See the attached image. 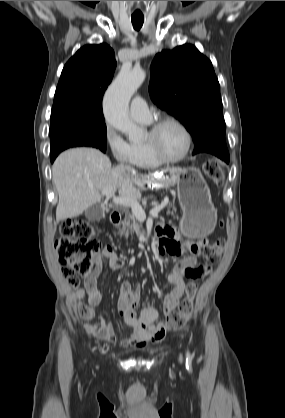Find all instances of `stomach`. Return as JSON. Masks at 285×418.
Here are the masks:
<instances>
[{
    "label": "stomach",
    "instance_id": "obj_1",
    "mask_svg": "<svg viewBox=\"0 0 285 418\" xmlns=\"http://www.w3.org/2000/svg\"><path fill=\"white\" fill-rule=\"evenodd\" d=\"M177 195L183 211L180 220L182 233L189 238L209 235L215 228L217 214L209 187L197 168L180 170Z\"/></svg>",
    "mask_w": 285,
    "mask_h": 418
}]
</instances>
